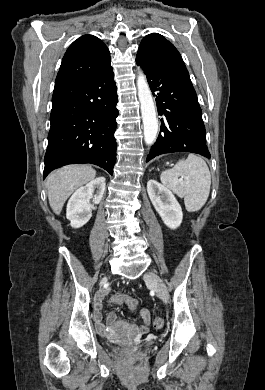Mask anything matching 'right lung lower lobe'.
<instances>
[{"label":"right lung lower lobe","instance_id":"right-lung-lower-lobe-1","mask_svg":"<svg viewBox=\"0 0 265 390\" xmlns=\"http://www.w3.org/2000/svg\"><path fill=\"white\" fill-rule=\"evenodd\" d=\"M117 101L111 65L54 89L44 178L58 167L75 163H92L113 174Z\"/></svg>","mask_w":265,"mask_h":390}]
</instances>
